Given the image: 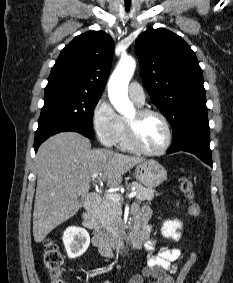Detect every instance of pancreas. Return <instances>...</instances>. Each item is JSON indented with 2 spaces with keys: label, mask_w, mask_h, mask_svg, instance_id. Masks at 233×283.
Returning a JSON list of instances; mask_svg holds the SVG:
<instances>
[{
  "label": "pancreas",
  "mask_w": 233,
  "mask_h": 283,
  "mask_svg": "<svg viewBox=\"0 0 233 283\" xmlns=\"http://www.w3.org/2000/svg\"><path fill=\"white\" fill-rule=\"evenodd\" d=\"M135 187L136 199L139 201L152 200L154 195H158L152 188H146L142 184L134 181L130 185ZM120 195V194H118ZM122 205L121 202H115L108 196L103 198L102 204L97 211V218L101 226L109 233L120 236L122 233Z\"/></svg>",
  "instance_id": "pancreas-1"
}]
</instances>
